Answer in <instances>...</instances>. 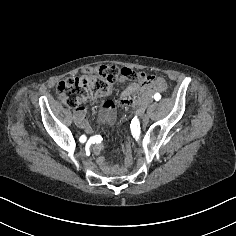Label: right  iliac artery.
Wrapping results in <instances>:
<instances>
[{
	"instance_id": "1",
	"label": "right iliac artery",
	"mask_w": 236,
	"mask_h": 236,
	"mask_svg": "<svg viewBox=\"0 0 236 236\" xmlns=\"http://www.w3.org/2000/svg\"><path fill=\"white\" fill-rule=\"evenodd\" d=\"M86 136L85 135H82L81 137H80V139H79V141L81 142V143H84L85 141H86Z\"/></svg>"
}]
</instances>
